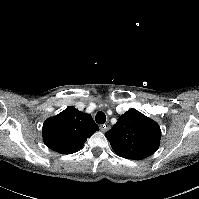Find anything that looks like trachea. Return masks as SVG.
<instances>
[{
    "label": "trachea",
    "mask_w": 199,
    "mask_h": 199,
    "mask_svg": "<svg viewBox=\"0 0 199 199\" xmlns=\"http://www.w3.org/2000/svg\"><path fill=\"white\" fill-rule=\"evenodd\" d=\"M95 120L98 124H104L106 122V115L100 111L96 114Z\"/></svg>",
    "instance_id": "1"
}]
</instances>
